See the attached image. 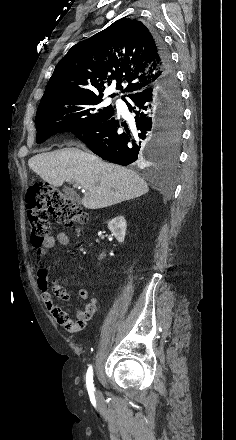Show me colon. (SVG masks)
<instances>
[{"label": "colon", "instance_id": "obj_1", "mask_svg": "<svg viewBox=\"0 0 236 440\" xmlns=\"http://www.w3.org/2000/svg\"><path fill=\"white\" fill-rule=\"evenodd\" d=\"M27 215L31 226V243L39 247L51 232L49 217L65 226H75L87 220V213L70 197L48 185L31 186L26 193ZM74 321L71 318L61 320Z\"/></svg>", "mask_w": 236, "mask_h": 440}]
</instances>
